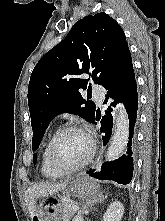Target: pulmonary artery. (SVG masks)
Wrapping results in <instances>:
<instances>
[{
    "instance_id": "obj_1",
    "label": "pulmonary artery",
    "mask_w": 165,
    "mask_h": 221,
    "mask_svg": "<svg viewBox=\"0 0 165 221\" xmlns=\"http://www.w3.org/2000/svg\"><path fill=\"white\" fill-rule=\"evenodd\" d=\"M94 96L98 103H102L104 100V91L102 88L96 87L94 89Z\"/></svg>"
}]
</instances>
